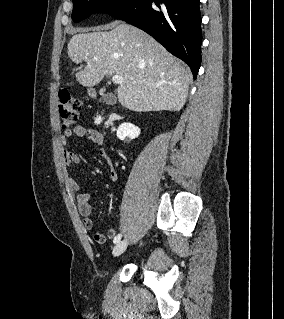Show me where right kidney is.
I'll return each instance as SVG.
<instances>
[{
    "label": "right kidney",
    "mask_w": 284,
    "mask_h": 319,
    "mask_svg": "<svg viewBox=\"0 0 284 319\" xmlns=\"http://www.w3.org/2000/svg\"><path fill=\"white\" fill-rule=\"evenodd\" d=\"M101 118L95 119V123H100ZM117 138L120 140H125L129 138L130 140L137 138L140 135V129L131 123H122L117 130Z\"/></svg>",
    "instance_id": "ca27d5eb"
}]
</instances>
